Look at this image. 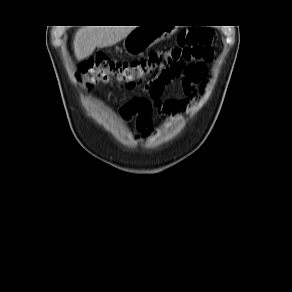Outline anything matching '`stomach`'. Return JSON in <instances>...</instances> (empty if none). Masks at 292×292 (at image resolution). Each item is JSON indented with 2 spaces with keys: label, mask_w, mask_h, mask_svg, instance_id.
Returning <instances> with one entry per match:
<instances>
[{
  "label": "stomach",
  "mask_w": 292,
  "mask_h": 292,
  "mask_svg": "<svg viewBox=\"0 0 292 292\" xmlns=\"http://www.w3.org/2000/svg\"><path fill=\"white\" fill-rule=\"evenodd\" d=\"M166 33L155 27H137L124 38V50L129 55H141L158 43Z\"/></svg>",
  "instance_id": "0dacf381"
}]
</instances>
